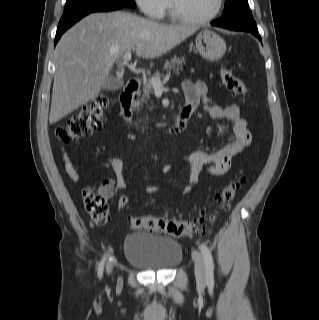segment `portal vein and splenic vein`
Here are the masks:
<instances>
[{
    "label": "portal vein and splenic vein",
    "instance_id": "portal-vein-and-splenic-vein-1",
    "mask_svg": "<svg viewBox=\"0 0 319 320\" xmlns=\"http://www.w3.org/2000/svg\"><path fill=\"white\" fill-rule=\"evenodd\" d=\"M124 62L125 63H128L130 60H131V52H126L124 54ZM170 77V74L167 75L163 81H161L160 79H151L150 80V83L152 84V87L155 89V90H161L163 89V84L166 83L168 81Z\"/></svg>",
    "mask_w": 319,
    "mask_h": 320
}]
</instances>
